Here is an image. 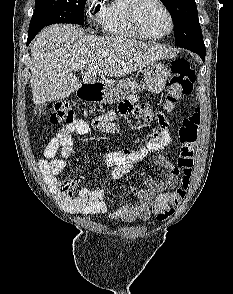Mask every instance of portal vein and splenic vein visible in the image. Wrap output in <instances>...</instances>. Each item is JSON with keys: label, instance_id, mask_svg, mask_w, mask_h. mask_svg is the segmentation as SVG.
I'll list each match as a JSON object with an SVG mask.
<instances>
[{"label": "portal vein and splenic vein", "instance_id": "obj_1", "mask_svg": "<svg viewBox=\"0 0 233 294\" xmlns=\"http://www.w3.org/2000/svg\"><path fill=\"white\" fill-rule=\"evenodd\" d=\"M84 67H85V62H81V63H78L77 65H75L73 68L75 70H82Z\"/></svg>", "mask_w": 233, "mask_h": 294}]
</instances>
